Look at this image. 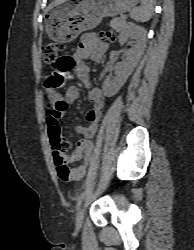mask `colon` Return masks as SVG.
<instances>
[{
    "label": "colon",
    "instance_id": "5ec220e1",
    "mask_svg": "<svg viewBox=\"0 0 194 250\" xmlns=\"http://www.w3.org/2000/svg\"><path fill=\"white\" fill-rule=\"evenodd\" d=\"M106 37L111 38L112 35L107 33ZM62 50L63 44L61 42H51L42 47L44 61L59 69V71L48 74L46 85L52 89L60 88L66 78L64 75L66 60L60 56ZM53 105L51 101V106ZM58 106L64 107V103L59 101ZM50 139L58 175L61 179L68 180L71 177V171L65 162V154L71 149V144L66 138L62 137L61 134H55L50 137Z\"/></svg>",
    "mask_w": 194,
    "mask_h": 250
}]
</instances>
